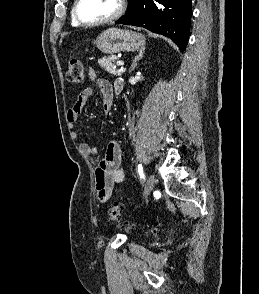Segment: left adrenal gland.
Segmentation results:
<instances>
[{
	"mask_svg": "<svg viewBox=\"0 0 259 294\" xmlns=\"http://www.w3.org/2000/svg\"><path fill=\"white\" fill-rule=\"evenodd\" d=\"M144 52H145V48H143L139 51V54L133 60V63H132L131 68L129 70L130 73L137 67V61L142 59Z\"/></svg>",
	"mask_w": 259,
	"mask_h": 294,
	"instance_id": "obj_1",
	"label": "left adrenal gland"
}]
</instances>
